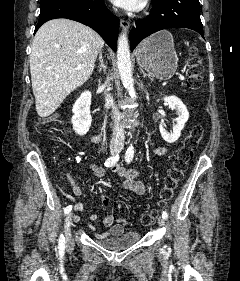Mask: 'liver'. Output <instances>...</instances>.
<instances>
[{"label":"liver","instance_id":"1","mask_svg":"<svg viewBox=\"0 0 240 281\" xmlns=\"http://www.w3.org/2000/svg\"><path fill=\"white\" fill-rule=\"evenodd\" d=\"M103 39L91 28L69 19H53L32 41L30 72L35 106L42 118L91 76ZM82 66L81 70H77Z\"/></svg>","mask_w":240,"mask_h":281}]
</instances>
